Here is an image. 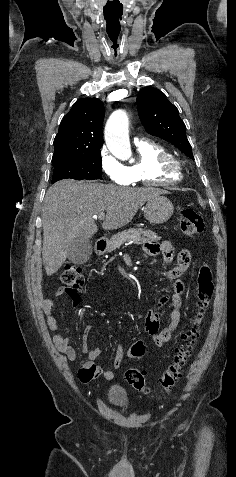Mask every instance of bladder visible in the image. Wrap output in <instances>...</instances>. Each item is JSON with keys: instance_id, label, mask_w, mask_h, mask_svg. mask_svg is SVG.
<instances>
[{"instance_id": "obj_1", "label": "bladder", "mask_w": 236, "mask_h": 477, "mask_svg": "<svg viewBox=\"0 0 236 477\" xmlns=\"http://www.w3.org/2000/svg\"><path fill=\"white\" fill-rule=\"evenodd\" d=\"M108 400L115 406H124L128 403L125 391L119 386H113L108 392Z\"/></svg>"}]
</instances>
